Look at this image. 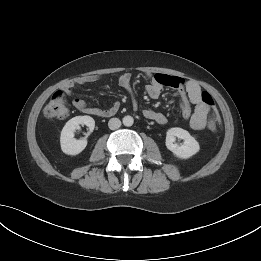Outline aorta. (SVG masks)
<instances>
[{"mask_svg": "<svg viewBox=\"0 0 261 261\" xmlns=\"http://www.w3.org/2000/svg\"><path fill=\"white\" fill-rule=\"evenodd\" d=\"M122 121H123V124H124L125 126H127V127L132 126L133 123H134L133 117H132V116H129V115L124 116L123 119H122Z\"/></svg>", "mask_w": 261, "mask_h": 261, "instance_id": "762f6f07", "label": "aorta"}]
</instances>
